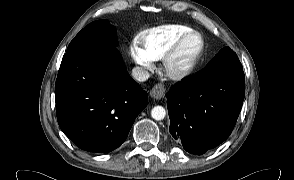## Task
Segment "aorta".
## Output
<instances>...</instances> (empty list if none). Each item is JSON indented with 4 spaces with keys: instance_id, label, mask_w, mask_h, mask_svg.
Here are the masks:
<instances>
[{
    "instance_id": "762f6f07",
    "label": "aorta",
    "mask_w": 294,
    "mask_h": 180,
    "mask_svg": "<svg viewBox=\"0 0 294 180\" xmlns=\"http://www.w3.org/2000/svg\"><path fill=\"white\" fill-rule=\"evenodd\" d=\"M151 116L155 120H163L166 116V110L162 106H155L151 110Z\"/></svg>"
}]
</instances>
